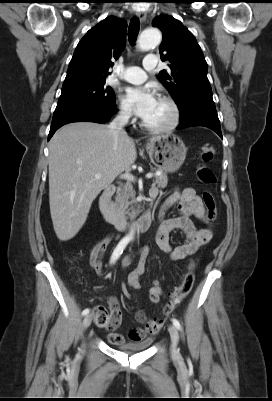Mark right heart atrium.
<instances>
[{
  "instance_id": "obj_1",
  "label": "right heart atrium",
  "mask_w": 272,
  "mask_h": 401,
  "mask_svg": "<svg viewBox=\"0 0 272 401\" xmlns=\"http://www.w3.org/2000/svg\"><path fill=\"white\" fill-rule=\"evenodd\" d=\"M117 115H118V118L121 119L122 121H129L132 118L131 110L123 103H120L118 105Z\"/></svg>"
}]
</instances>
